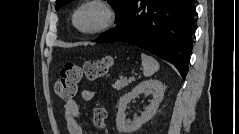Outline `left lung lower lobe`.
I'll list each match as a JSON object with an SVG mask.
<instances>
[{"instance_id":"1","label":"left lung lower lobe","mask_w":239,"mask_h":134,"mask_svg":"<svg viewBox=\"0 0 239 134\" xmlns=\"http://www.w3.org/2000/svg\"><path fill=\"white\" fill-rule=\"evenodd\" d=\"M194 0H133L117 26L95 42H127L172 63L185 78L195 30Z\"/></svg>"}]
</instances>
